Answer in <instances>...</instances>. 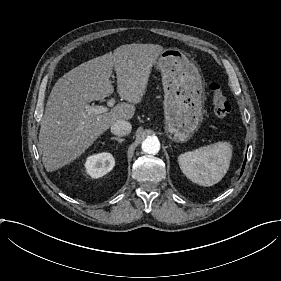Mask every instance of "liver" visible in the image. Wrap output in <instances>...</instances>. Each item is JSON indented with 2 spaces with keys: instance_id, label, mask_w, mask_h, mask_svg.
Segmentation results:
<instances>
[{
  "instance_id": "6515ba94",
  "label": "liver",
  "mask_w": 281,
  "mask_h": 281,
  "mask_svg": "<svg viewBox=\"0 0 281 281\" xmlns=\"http://www.w3.org/2000/svg\"><path fill=\"white\" fill-rule=\"evenodd\" d=\"M163 47L153 43L123 44L65 73L54 84L39 132L42 162L47 171L80 155L117 121L130 119L145 90L152 64ZM114 66L120 102L111 112L82 116L93 100L114 93L109 80Z\"/></svg>"
}]
</instances>
